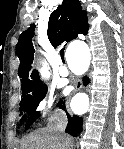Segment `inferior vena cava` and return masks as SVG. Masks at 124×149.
Instances as JSON below:
<instances>
[{"label":"inferior vena cava","instance_id":"obj_1","mask_svg":"<svg viewBox=\"0 0 124 149\" xmlns=\"http://www.w3.org/2000/svg\"><path fill=\"white\" fill-rule=\"evenodd\" d=\"M67 125V117L65 113L58 112L54 115L51 128L57 133V137L65 139V142H70L69 136L64 135V130Z\"/></svg>","mask_w":124,"mask_h":149}]
</instances>
